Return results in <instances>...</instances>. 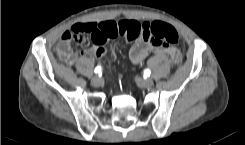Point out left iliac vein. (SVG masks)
<instances>
[{
	"mask_svg": "<svg viewBox=\"0 0 245 145\" xmlns=\"http://www.w3.org/2000/svg\"><path fill=\"white\" fill-rule=\"evenodd\" d=\"M140 85L144 88H150L153 86L152 79H140Z\"/></svg>",
	"mask_w": 245,
	"mask_h": 145,
	"instance_id": "4c4485c4",
	"label": "left iliac vein"
}]
</instances>
